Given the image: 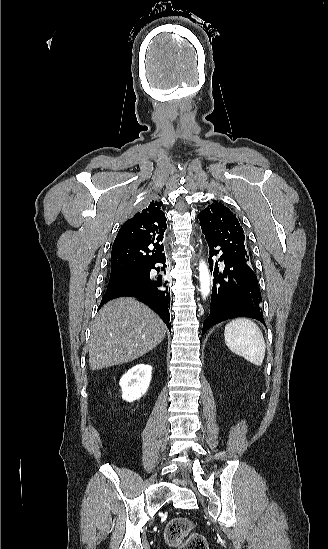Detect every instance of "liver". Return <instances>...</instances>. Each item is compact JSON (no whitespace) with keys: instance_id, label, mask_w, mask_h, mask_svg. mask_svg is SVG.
Listing matches in <instances>:
<instances>
[{"instance_id":"1","label":"liver","mask_w":328,"mask_h":549,"mask_svg":"<svg viewBox=\"0 0 328 549\" xmlns=\"http://www.w3.org/2000/svg\"><path fill=\"white\" fill-rule=\"evenodd\" d=\"M165 329L162 319L133 297L109 301L91 325V371L139 359L163 341Z\"/></svg>"}]
</instances>
